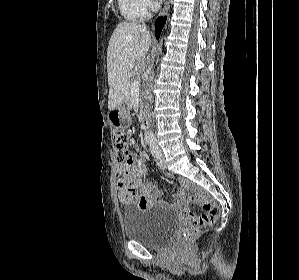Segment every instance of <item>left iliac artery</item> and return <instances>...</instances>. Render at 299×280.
Masks as SVG:
<instances>
[{
  "label": "left iliac artery",
  "instance_id": "left-iliac-artery-1",
  "mask_svg": "<svg viewBox=\"0 0 299 280\" xmlns=\"http://www.w3.org/2000/svg\"><path fill=\"white\" fill-rule=\"evenodd\" d=\"M149 145L152 155L159 159L161 156V150L159 149L156 140H150Z\"/></svg>",
  "mask_w": 299,
  "mask_h": 280
}]
</instances>
